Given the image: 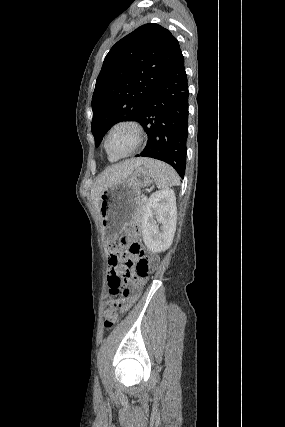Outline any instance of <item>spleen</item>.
<instances>
[{
  "instance_id": "1",
  "label": "spleen",
  "mask_w": 285,
  "mask_h": 427,
  "mask_svg": "<svg viewBox=\"0 0 285 427\" xmlns=\"http://www.w3.org/2000/svg\"><path fill=\"white\" fill-rule=\"evenodd\" d=\"M144 167L149 170L156 186L160 189H168L180 183V179L175 170L164 162L146 159Z\"/></svg>"
}]
</instances>
